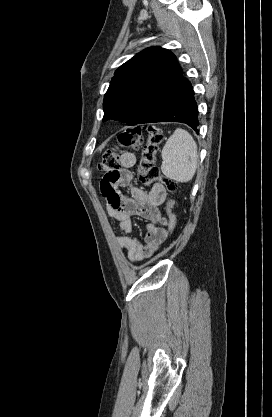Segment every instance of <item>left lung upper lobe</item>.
I'll list each match as a JSON object with an SVG mask.
<instances>
[{"mask_svg": "<svg viewBox=\"0 0 272 417\" xmlns=\"http://www.w3.org/2000/svg\"><path fill=\"white\" fill-rule=\"evenodd\" d=\"M182 75L175 55L167 49L151 47L136 54L116 70L110 82L104 96L103 121L141 123Z\"/></svg>", "mask_w": 272, "mask_h": 417, "instance_id": "5c2ea615", "label": "left lung upper lobe"}]
</instances>
